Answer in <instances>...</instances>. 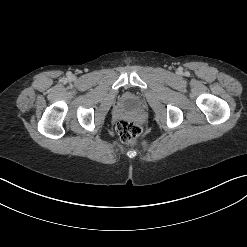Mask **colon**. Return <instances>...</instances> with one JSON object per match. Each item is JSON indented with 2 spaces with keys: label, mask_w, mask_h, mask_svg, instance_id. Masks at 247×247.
Masks as SVG:
<instances>
[{
  "label": "colon",
  "mask_w": 247,
  "mask_h": 247,
  "mask_svg": "<svg viewBox=\"0 0 247 247\" xmlns=\"http://www.w3.org/2000/svg\"><path fill=\"white\" fill-rule=\"evenodd\" d=\"M120 140L126 145H133L142 132L141 126L131 120H120L116 125Z\"/></svg>",
  "instance_id": "5ec220e1"
}]
</instances>
